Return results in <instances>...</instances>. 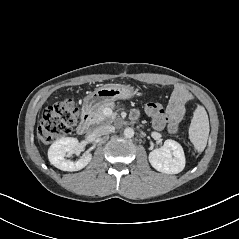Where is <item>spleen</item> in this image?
<instances>
[{
    "label": "spleen",
    "instance_id": "3e777b00",
    "mask_svg": "<svg viewBox=\"0 0 239 239\" xmlns=\"http://www.w3.org/2000/svg\"><path fill=\"white\" fill-rule=\"evenodd\" d=\"M209 119L203 106L198 105L193 113L189 127V139L198 152H202L209 136Z\"/></svg>",
    "mask_w": 239,
    "mask_h": 239
}]
</instances>
